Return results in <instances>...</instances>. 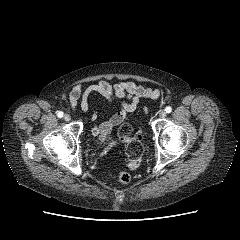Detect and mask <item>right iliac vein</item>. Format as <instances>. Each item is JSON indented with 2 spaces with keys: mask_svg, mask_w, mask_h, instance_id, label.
Here are the masks:
<instances>
[{
  "mask_svg": "<svg viewBox=\"0 0 240 240\" xmlns=\"http://www.w3.org/2000/svg\"><path fill=\"white\" fill-rule=\"evenodd\" d=\"M64 120L65 121H70L71 120V116L69 114H65L64 115Z\"/></svg>",
  "mask_w": 240,
  "mask_h": 240,
  "instance_id": "obj_1",
  "label": "right iliac vein"
}]
</instances>
